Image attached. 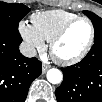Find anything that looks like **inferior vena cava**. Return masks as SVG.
<instances>
[{"label":"inferior vena cava","mask_w":102,"mask_h":102,"mask_svg":"<svg viewBox=\"0 0 102 102\" xmlns=\"http://www.w3.org/2000/svg\"><path fill=\"white\" fill-rule=\"evenodd\" d=\"M19 49L21 54L24 55L25 57L31 58L37 55L36 49L26 42H22L19 46Z\"/></svg>","instance_id":"602c4592"}]
</instances>
